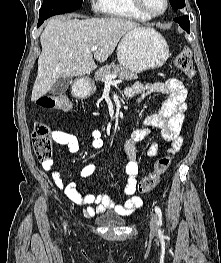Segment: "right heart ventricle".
Wrapping results in <instances>:
<instances>
[{"label":"right heart ventricle","mask_w":221,"mask_h":263,"mask_svg":"<svg viewBox=\"0 0 221 263\" xmlns=\"http://www.w3.org/2000/svg\"><path fill=\"white\" fill-rule=\"evenodd\" d=\"M100 11L112 17L146 20L133 0H99Z\"/></svg>","instance_id":"1"}]
</instances>
